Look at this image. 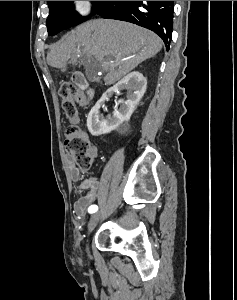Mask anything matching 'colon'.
<instances>
[{"label":"colon","instance_id":"5ec220e1","mask_svg":"<svg viewBox=\"0 0 237 300\" xmlns=\"http://www.w3.org/2000/svg\"><path fill=\"white\" fill-rule=\"evenodd\" d=\"M62 108L69 119L77 117L75 104L76 90L71 84H64L60 88ZM65 150L73 157L75 163L82 170H88L92 164V157L89 154L90 141L85 132L76 125H70L66 130Z\"/></svg>","mask_w":237,"mask_h":300}]
</instances>
